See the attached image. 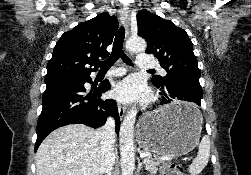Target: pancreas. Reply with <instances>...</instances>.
Returning <instances> with one entry per match:
<instances>
[{"label":"pancreas","instance_id":"pancreas-1","mask_svg":"<svg viewBox=\"0 0 251 175\" xmlns=\"http://www.w3.org/2000/svg\"><path fill=\"white\" fill-rule=\"evenodd\" d=\"M163 161L164 159H159V157H153L151 153H149V155H146V157H143V163L146 169L150 171V173H156L158 165H161Z\"/></svg>","mask_w":251,"mask_h":175}]
</instances>
